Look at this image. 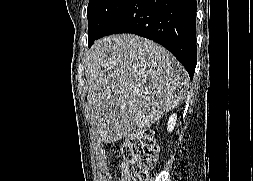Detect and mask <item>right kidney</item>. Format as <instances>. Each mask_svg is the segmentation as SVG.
Wrapping results in <instances>:
<instances>
[{"label":"right kidney","mask_w":253,"mask_h":181,"mask_svg":"<svg viewBox=\"0 0 253 181\" xmlns=\"http://www.w3.org/2000/svg\"><path fill=\"white\" fill-rule=\"evenodd\" d=\"M176 122H177V115L176 114H172L170 117H169V120H168V127H167V130L168 132H172L174 127L176 126Z\"/></svg>","instance_id":"obj_1"}]
</instances>
